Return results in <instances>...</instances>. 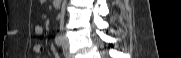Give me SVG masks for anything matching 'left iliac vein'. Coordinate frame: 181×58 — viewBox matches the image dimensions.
Listing matches in <instances>:
<instances>
[{
	"label": "left iliac vein",
	"instance_id": "left-iliac-vein-1",
	"mask_svg": "<svg viewBox=\"0 0 181 58\" xmlns=\"http://www.w3.org/2000/svg\"><path fill=\"white\" fill-rule=\"evenodd\" d=\"M62 48H63L64 56L66 58H71V54H70L69 48H68V41H67L66 37L63 38Z\"/></svg>",
	"mask_w": 181,
	"mask_h": 58
}]
</instances>
